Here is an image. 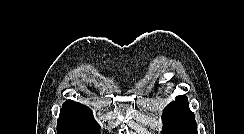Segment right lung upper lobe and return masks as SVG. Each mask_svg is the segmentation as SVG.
Listing matches in <instances>:
<instances>
[{"instance_id":"cb5924a9","label":"right lung upper lobe","mask_w":244,"mask_h":134,"mask_svg":"<svg viewBox=\"0 0 244 134\" xmlns=\"http://www.w3.org/2000/svg\"><path fill=\"white\" fill-rule=\"evenodd\" d=\"M94 120L92 110L78 102L67 100L60 111L59 119Z\"/></svg>"}]
</instances>
